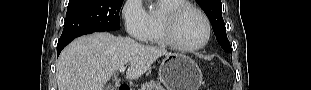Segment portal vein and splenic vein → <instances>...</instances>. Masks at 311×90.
<instances>
[{"label":"portal vein and splenic vein","mask_w":311,"mask_h":90,"mask_svg":"<svg viewBox=\"0 0 311 90\" xmlns=\"http://www.w3.org/2000/svg\"><path fill=\"white\" fill-rule=\"evenodd\" d=\"M125 70H126V66H121V67L118 69V71H119L120 73L125 72Z\"/></svg>","instance_id":"portal-vein-and-splenic-vein-1"}]
</instances>
